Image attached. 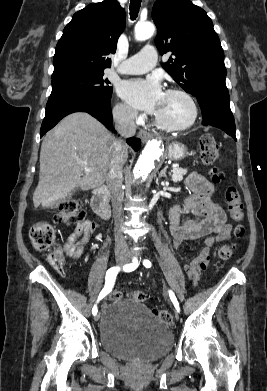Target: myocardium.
Masks as SVG:
<instances>
[{"instance_id": "1", "label": "myocardium", "mask_w": 267, "mask_h": 391, "mask_svg": "<svg viewBox=\"0 0 267 391\" xmlns=\"http://www.w3.org/2000/svg\"><path fill=\"white\" fill-rule=\"evenodd\" d=\"M166 93L167 94H178V95L182 96L190 106L191 115H190V118L187 122H185L183 124H179V125L167 123L156 116L155 117L156 124L159 127L166 129V130H169V131H183V130H186V129H189L190 127H192L196 123V121L198 119V115H199L198 106H197V103H196L194 97L188 91H186L182 88H170L166 91Z\"/></svg>"}]
</instances>
